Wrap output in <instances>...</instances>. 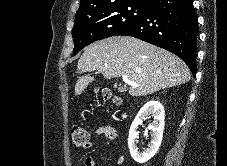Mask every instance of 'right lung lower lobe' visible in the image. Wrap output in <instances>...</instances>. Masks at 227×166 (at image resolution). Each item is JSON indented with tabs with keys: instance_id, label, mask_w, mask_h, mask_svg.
<instances>
[{
	"instance_id": "obj_1",
	"label": "right lung lower lobe",
	"mask_w": 227,
	"mask_h": 166,
	"mask_svg": "<svg viewBox=\"0 0 227 166\" xmlns=\"http://www.w3.org/2000/svg\"><path fill=\"white\" fill-rule=\"evenodd\" d=\"M117 35L132 36L176 54L195 76L198 23L191 0H155L140 20Z\"/></svg>"
}]
</instances>
